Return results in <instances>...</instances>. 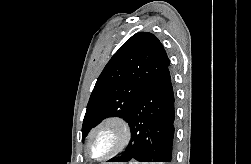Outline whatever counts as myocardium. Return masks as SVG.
I'll return each instance as SVG.
<instances>
[{"label":"myocardium","instance_id":"1","mask_svg":"<svg viewBox=\"0 0 251 164\" xmlns=\"http://www.w3.org/2000/svg\"><path fill=\"white\" fill-rule=\"evenodd\" d=\"M112 129L117 136L115 146L106 154L102 156H95L91 150V143L94 137L103 129ZM132 139V129L129 122L119 115H112L103 118L100 122H98L89 132L87 141H86V149L90 158L96 161H105L109 160L116 155L122 153L130 144Z\"/></svg>","mask_w":251,"mask_h":164}]
</instances>
